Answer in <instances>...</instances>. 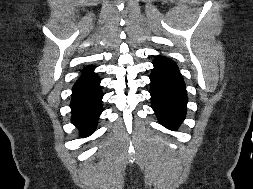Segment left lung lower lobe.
<instances>
[{"instance_id":"obj_1","label":"left lung lower lobe","mask_w":253,"mask_h":189,"mask_svg":"<svg viewBox=\"0 0 253 189\" xmlns=\"http://www.w3.org/2000/svg\"><path fill=\"white\" fill-rule=\"evenodd\" d=\"M153 65L150 75L152 108L163 126L176 130L186 116L185 83L172 60L157 57Z\"/></svg>"}]
</instances>
